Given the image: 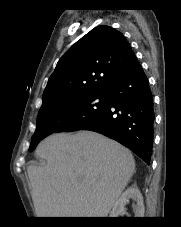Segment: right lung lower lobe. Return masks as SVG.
<instances>
[{
	"instance_id": "obj_1",
	"label": "right lung lower lobe",
	"mask_w": 181,
	"mask_h": 227,
	"mask_svg": "<svg viewBox=\"0 0 181 227\" xmlns=\"http://www.w3.org/2000/svg\"><path fill=\"white\" fill-rule=\"evenodd\" d=\"M108 92L106 109L82 130L120 142L149 164L155 119L153 96L136 57L127 72L110 84Z\"/></svg>"
}]
</instances>
